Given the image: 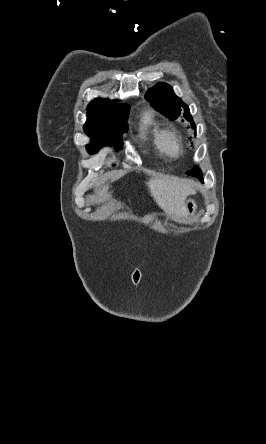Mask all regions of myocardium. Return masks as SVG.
Masks as SVG:
<instances>
[{
	"instance_id": "myocardium-1",
	"label": "myocardium",
	"mask_w": 266,
	"mask_h": 444,
	"mask_svg": "<svg viewBox=\"0 0 266 444\" xmlns=\"http://www.w3.org/2000/svg\"><path fill=\"white\" fill-rule=\"evenodd\" d=\"M175 140L177 147L173 150L170 146V141ZM162 145L165 153L172 157H177L183 153V140L181 135L174 129H165L162 133Z\"/></svg>"
}]
</instances>
